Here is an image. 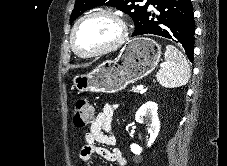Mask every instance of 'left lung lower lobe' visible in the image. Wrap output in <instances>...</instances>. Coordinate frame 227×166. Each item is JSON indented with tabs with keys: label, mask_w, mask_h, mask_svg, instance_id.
<instances>
[{
	"label": "left lung lower lobe",
	"mask_w": 227,
	"mask_h": 166,
	"mask_svg": "<svg viewBox=\"0 0 227 166\" xmlns=\"http://www.w3.org/2000/svg\"><path fill=\"white\" fill-rule=\"evenodd\" d=\"M155 6L159 15L149 19L150 12H146L139 29L133 34H155L172 39L179 43L193 62L195 25L193 9L190 0H148Z\"/></svg>",
	"instance_id": "left-lung-lower-lobe-1"
}]
</instances>
